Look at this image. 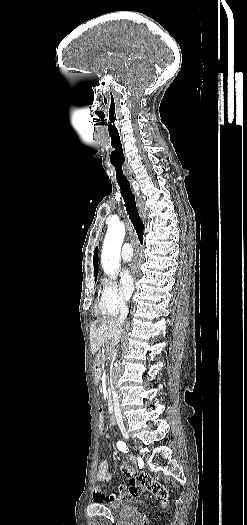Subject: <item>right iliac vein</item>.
Returning <instances> with one entry per match:
<instances>
[{
  "mask_svg": "<svg viewBox=\"0 0 247 525\" xmlns=\"http://www.w3.org/2000/svg\"><path fill=\"white\" fill-rule=\"evenodd\" d=\"M120 431H121V433H122V435L124 436L125 439L128 440L130 438L128 431L126 430V428L123 425L120 426Z\"/></svg>",
  "mask_w": 247,
  "mask_h": 525,
  "instance_id": "63e3f726",
  "label": "right iliac vein"
}]
</instances>
